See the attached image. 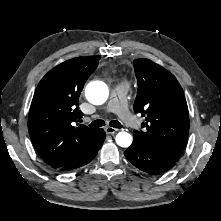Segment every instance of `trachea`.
Masks as SVG:
<instances>
[{"label":"trachea","mask_w":221,"mask_h":221,"mask_svg":"<svg viewBox=\"0 0 221 221\" xmlns=\"http://www.w3.org/2000/svg\"><path fill=\"white\" fill-rule=\"evenodd\" d=\"M105 125L104 120L98 119L89 124L90 127H102ZM109 125L113 128H122V125L119 121L112 120Z\"/></svg>","instance_id":"3493384b"}]
</instances>
